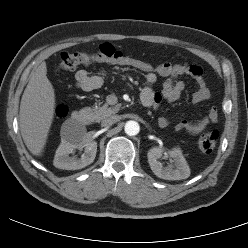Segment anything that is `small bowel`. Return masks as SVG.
I'll use <instances>...</instances> for the list:
<instances>
[{"mask_svg": "<svg viewBox=\"0 0 248 248\" xmlns=\"http://www.w3.org/2000/svg\"><path fill=\"white\" fill-rule=\"evenodd\" d=\"M144 80L145 87L141 93V99L150 100V106L157 108L160 103L165 100L167 102L177 101L184 91V82L178 78L182 75L191 76L198 89L192 95L193 103L206 102L210 99V91L204 79L203 69L197 64L184 63H169L164 62L156 65L153 71L145 72ZM166 77L162 91L156 92L153 85L158 77ZM76 86L83 91H92L98 89L103 84L102 77L93 75L87 70H78L75 74ZM218 110L216 107H211L205 116L196 120H182L176 125L177 131H185L191 135H196L202 132L210 123H215L218 120ZM158 125L161 128H166L170 125V120L166 117L158 119Z\"/></svg>", "mask_w": 248, "mask_h": 248, "instance_id": "1", "label": "small bowel"}]
</instances>
